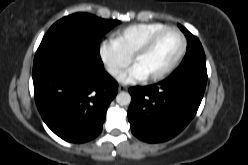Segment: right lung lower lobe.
I'll return each instance as SVG.
<instances>
[{
	"label": "right lung lower lobe",
	"instance_id": "98d812e1",
	"mask_svg": "<svg viewBox=\"0 0 248 165\" xmlns=\"http://www.w3.org/2000/svg\"><path fill=\"white\" fill-rule=\"evenodd\" d=\"M34 94L46 125L62 139L83 143L100 134L118 83L85 45L61 41L38 48Z\"/></svg>",
	"mask_w": 248,
	"mask_h": 165
}]
</instances>
